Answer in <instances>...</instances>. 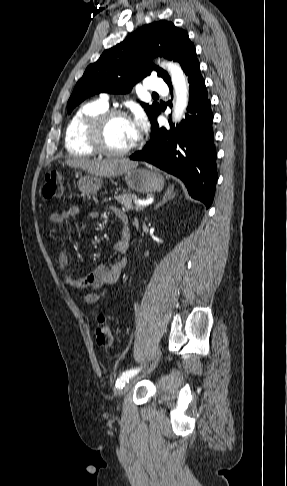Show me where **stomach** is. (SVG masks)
Instances as JSON below:
<instances>
[{
    "label": "stomach",
    "instance_id": "0dacf381",
    "mask_svg": "<svg viewBox=\"0 0 287 486\" xmlns=\"http://www.w3.org/2000/svg\"><path fill=\"white\" fill-rule=\"evenodd\" d=\"M124 180L128 187L139 193H155L164 187V178L157 172L132 168L124 173ZM79 191L86 196L95 194L102 186V180L97 176L88 175L77 182Z\"/></svg>",
    "mask_w": 287,
    "mask_h": 486
}]
</instances>
